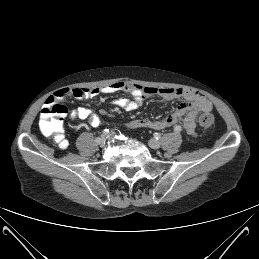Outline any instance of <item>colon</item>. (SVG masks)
I'll return each instance as SVG.
<instances>
[{
	"label": "colon",
	"mask_w": 259,
	"mask_h": 259,
	"mask_svg": "<svg viewBox=\"0 0 259 259\" xmlns=\"http://www.w3.org/2000/svg\"><path fill=\"white\" fill-rule=\"evenodd\" d=\"M67 113V108L50 100L41 110L39 116V129L41 133L54 140L61 148L67 146L64 139L63 120ZM214 123V117L210 113H202L199 117V124L203 128H210Z\"/></svg>",
	"instance_id": "1"
}]
</instances>
